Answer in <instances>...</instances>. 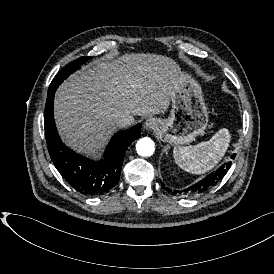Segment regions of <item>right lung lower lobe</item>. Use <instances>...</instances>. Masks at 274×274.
I'll list each match as a JSON object with an SVG mask.
<instances>
[{
    "label": "right lung lower lobe",
    "mask_w": 274,
    "mask_h": 274,
    "mask_svg": "<svg viewBox=\"0 0 274 274\" xmlns=\"http://www.w3.org/2000/svg\"><path fill=\"white\" fill-rule=\"evenodd\" d=\"M55 91H48L44 111L45 137L52 162L76 191L88 196L104 195L118 184L124 153L140 136L142 124L116 133L106 149L104 160L94 162L62 143L53 116Z\"/></svg>",
    "instance_id": "obj_1"
}]
</instances>
